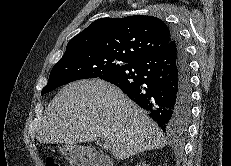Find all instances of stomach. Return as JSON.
I'll use <instances>...</instances> for the list:
<instances>
[{
  "instance_id": "obj_1",
  "label": "stomach",
  "mask_w": 231,
  "mask_h": 166,
  "mask_svg": "<svg viewBox=\"0 0 231 166\" xmlns=\"http://www.w3.org/2000/svg\"><path fill=\"white\" fill-rule=\"evenodd\" d=\"M61 154L69 161L78 164L79 166H84L87 162L86 150L77 145H62L58 146Z\"/></svg>"
}]
</instances>
